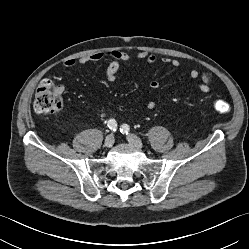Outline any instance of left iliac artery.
<instances>
[{"instance_id":"obj_1","label":"left iliac artery","mask_w":249,"mask_h":249,"mask_svg":"<svg viewBox=\"0 0 249 249\" xmlns=\"http://www.w3.org/2000/svg\"><path fill=\"white\" fill-rule=\"evenodd\" d=\"M120 131H121L122 133L128 134V132L130 131V128H129V126H128L127 124H123V125L121 126V128H120Z\"/></svg>"}]
</instances>
